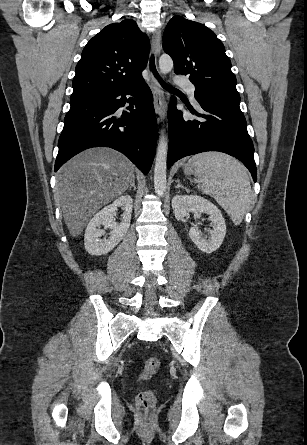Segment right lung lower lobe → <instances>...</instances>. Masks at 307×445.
<instances>
[{
	"instance_id": "98d812e1",
	"label": "right lung lower lobe",
	"mask_w": 307,
	"mask_h": 445,
	"mask_svg": "<svg viewBox=\"0 0 307 445\" xmlns=\"http://www.w3.org/2000/svg\"><path fill=\"white\" fill-rule=\"evenodd\" d=\"M126 95L131 97L127 99ZM126 102L129 112L119 114L117 110ZM70 104L58 142L55 171L79 152L102 146L122 152L145 174L149 172L157 127L153 96L144 80L71 99Z\"/></svg>"
}]
</instances>
